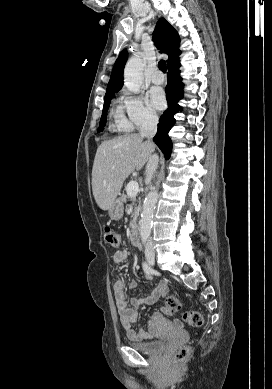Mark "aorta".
<instances>
[{
	"instance_id": "aorta-1",
	"label": "aorta",
	"mask_w": 272,
	"mask_h": 389,
	"mask_svg": "<svg viewBox=\"0 0 272 389\" xmlns=\"http://www.w3.org/2000/svg\"><path fill=\"white\" fill-rule=\"evenodd\" d=\"M143 68L144 63L139 55H135L128 60L124 69V84L129 91L134 93L140 91L143 81ZM157 198V190L153 189L144 200L140 220V236L142 241H147L150 237Z\"/></svg>"
}]
</instances>
